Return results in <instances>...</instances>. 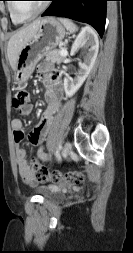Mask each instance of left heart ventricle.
I'll use <instances>...</instances> for the list:
<instances>
[{
  "mask_svg": "<svg viewBox=\"0 0 133 253\" xmlns=\"http://www.w3.org/2000/svg\"><path fill=\"white\" fill-rule=\"evenodd\" d=\"M43 3V1H16L14 8L19 16L28 17L38 11Z\"/></svg>",
  "mask_w": 133,
  "mask_h": 253,
  "instance_id": "left-heart-ventricle-1",
  "label": "left heart ventricle"
}]
</instances>
